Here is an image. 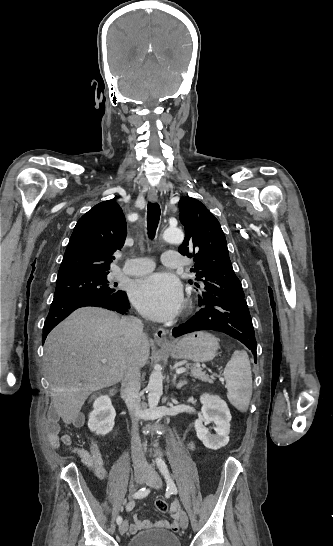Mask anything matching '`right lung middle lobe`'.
Here are the masks:
<instances>
[{"mask_svg": "<svg viewBox=\"0 0 333 546\" xmlns=\"http://www.w3.org/2000/svg\"><path fill=\"white\" fill-rule=\"evenodd\" d=\"M109 272L83 273L58 278L54 299L80 295H113L119 290L108 284Z\"/></svg>", "mask_w": 333, "mask_h": 546, "instance_id": "obj_1", "label": "right lung middle lobe"}]
</instances>
